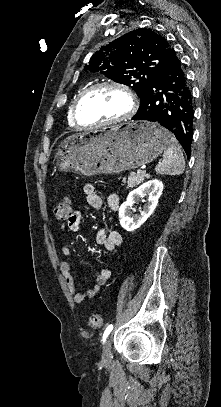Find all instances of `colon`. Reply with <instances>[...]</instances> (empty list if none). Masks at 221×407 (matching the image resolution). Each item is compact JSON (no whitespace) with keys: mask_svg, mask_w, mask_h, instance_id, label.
Segmentation results:
<instances>
[{"mask_svg":"<svg viewBox=\"0 0 221 407\" xmlns=\"http://www.w3.org/2000/svg\"><path fill=\"white\" fill-rule=\"evenodd\" d=\"M73 215V204L68 197L63 198L57 203L54 208V216L59 221H67ZM88 325L92 329H99L103 325V315L101 313H93Z\"/></svg>","mask_w":221,"mask_h":407,"instance_id":"colon-1","label":"colon"}]
</instances>
